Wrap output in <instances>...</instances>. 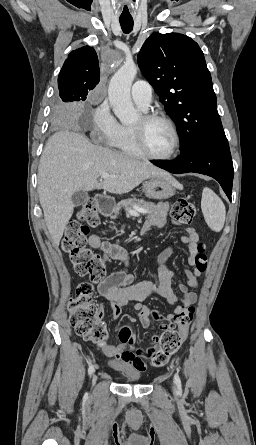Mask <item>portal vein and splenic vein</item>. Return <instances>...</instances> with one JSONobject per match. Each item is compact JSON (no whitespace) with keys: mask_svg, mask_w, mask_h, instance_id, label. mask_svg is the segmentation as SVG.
<instances>
[{"mask_svg":"<svg viewBox=\"0 0 256 445\" xmlns=\"http://www.w3.org/2000/svg\"><path fill=\"white\" fill-rule=\"evenodd\" d=\"M101 177L103 178V179H107V178H115V176L114 175H110V174H108V173H103L102 175H101ZM140 213H146V210H144V209H136V210H132V211H129L128 212V214L129 215H131V216H134V217H139L140 216Z\"/></svg>","mask_w":256,"mask_h":445,"instance_id":"portal-vein-and-splenic-vein-1","label":"portal vein and splenic vein"}]
</instances>
